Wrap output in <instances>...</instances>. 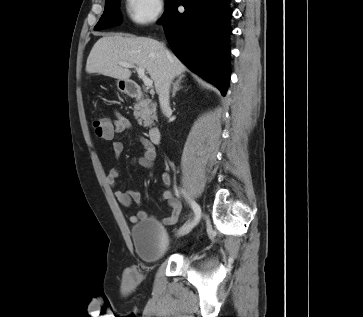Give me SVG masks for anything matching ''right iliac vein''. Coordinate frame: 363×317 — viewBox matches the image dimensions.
<instances>
[{"label": "right iliac vein", "instance_id": "1", "mask_svg": "<svg viewBox=\"0 0 363 317\" xmlns=\"http://www.w3.org/2000/svg\"><path fill=\"white\" fill-rule=\"evenodd\" d=\"M193 223H195V220L192 222H189L188 224L184 225L183 227H181L178 232H177V236H184L187 233H189L191 231V229L193 228L192 225Z\"/></svg>", "mask_w": 363, "mask_h": 317}]
</instances>
